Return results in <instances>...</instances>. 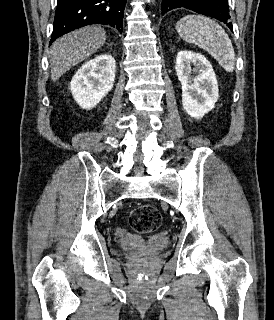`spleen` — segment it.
Segmentation results:
<instances>
[{
	"label": "spleen",
	"mask_w": 274,
	"mask_h": 320,
	"mask_svg": "<svg viewBox=\"0 0 274 320\" xmlns=\"http://www.w3.org/2000/svg\"><path fill=\"white\" fill-rule=\"evenodd\" d=\"M176 30L185 42L209 52L226 72L235 68V54L225 30L205 16H185L177 22Z\"/></svg>",
	"instance_id": "spleen-1"
}]
</instances>
